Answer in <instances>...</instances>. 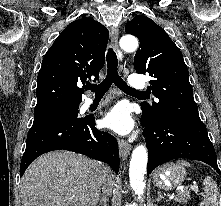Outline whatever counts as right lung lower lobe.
<instances>
[{"label":"right lung lower lobe","instance_id":"obj_1","mask_svg":"<svg viewBox=\"0 0 221 206\" xmlns=\"http://www.w3.org/2000/svg\"><path fill=\"white\" fill-rule=\"evenodd\" d=\"M69 150L110 165L119 170V150L116 139L95 127V119L62 118L34 123L27 136L26 149L20 165V176L38 156L54 150Z\"/></svg>","mask_w":221,"mask_h":206}]
</instances>
